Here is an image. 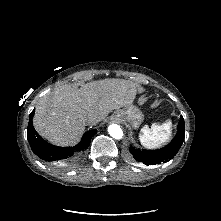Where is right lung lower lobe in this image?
Masks as SVG:
<instances>
[{
    "label": "right lung lower lobe",
    "mask_w": 221,
    "mask_h": 221,
    "mask_svg": "<svg viewBox=\"0 0 221 221\" xmlns=\"http://www.w3.org/2000/svg\"><path fill=\"white\" fill-rule=\"evenodd\" d=\"M34 111L31 112L29 117V124L27 129V138L31 146L32 151L49 162L52 165L59 166L62 168H68L75 164L78 155L77 152L84 151L88 148L91 138L97 132L96 130L87 131L81 140V142L75 147H58L53 146L43 140L40 135L36 132L33 126Z\"/></svg>",
    "instance_id": "1"
}]
</instances>
